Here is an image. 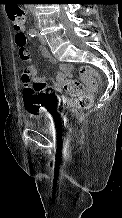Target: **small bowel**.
<instances>
[{
	"label": "small bowel",
	"instance_id": "1",
	"mask_svg": "<svg viewBox=\"0 0 122 218\" xmlns=\"http://www.w3.org/2000/svg\"><path fill=\"white\" fill-rule=\"evenodd\" d=\"M22 32H24V30H22ZM41 55L50 63L53 64L56 63V60L51 56V54L46 49L41 50ZM28 71L36 87L34 101L37 107L40 109V113H42L43 108L48 104L49 93L46 90V86H47L46 78L44 76L43 77L37 76V70L35 66H31L28 69ZM71 74H72L71 65L65 63L58 64L55 77L51 82L50 87L56 92H61L64 81L67 80L71 76ZM23 100H24V95H23ZM63 101L65 103H71V100L65 97L63 98Z\"/></svg>",
	"mask_w": 122,
	"mask_h": 218
}]
</instances>
